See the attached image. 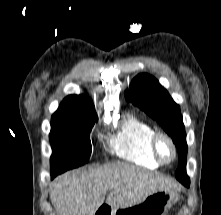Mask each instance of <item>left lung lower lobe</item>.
Here are the masks:
<instances>
[{"instance_id":"left-lung-lower-lobe-1","label":"left lung lower lobe","mask_w":221,"mask_h":215,"mask_svg":"<svg viewBox=\"0 0 221 215\" xmlns=\"http://www.w3.org/2000/svg\"><path fill=\"white\" fill-rule=\"evenodd\" d=\"M184 186L189 187L190 185V181H183V180H179Z\"/></svg>"}]
</instances>
